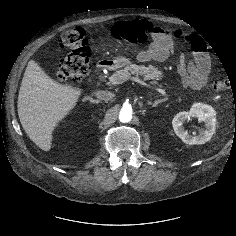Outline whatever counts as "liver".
<instances>
[{"mask_svg": "<svg viewBox=\"0 0 236 236\" xmlns=\"http://www.w3.org/2000/svg\"><path fill=\"white\" fill-rule=\"evenodd\" d=\"M81 94L82 89L60 84L37 62H28L18 95V116L39 148L51 150L56 126L75 108Z\"/></svg>", "mask_w": 236, "mask_h": 236, "instance_id": "obj_1", "label": "liver"}]
</instances>
